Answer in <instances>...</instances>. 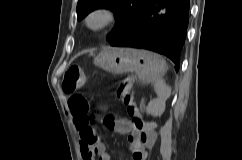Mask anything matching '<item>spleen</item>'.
Instances as JSON below:
<instances>
[{"mask_svg":"<svg viewBox=\"0 0 242 160\" xmlns=\"http://www.w3.org/2000/svg\"><path fill=\"white\" fill-rule=\"evenodd\" d=\"M165 68H166V62L164 61V59L160 55L154 54L151 69L154 71V77L152 81L155 83V89L160 97L157 103H159L160 100L162 99L160 89L165 87L164 82L161 78L165 71ZM139 77L141 78L140 75ZM169 93L170 92L168 91V95ZM147 111L150 112V107L147 108Z\"/></svg>","mask_w":242,"mask_h":160,"instance_id":"3e777b00","label":"spleen"}]
</instances>
